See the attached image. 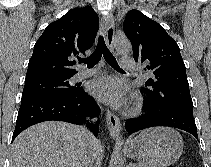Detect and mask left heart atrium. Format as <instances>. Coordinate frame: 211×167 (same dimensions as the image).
Returning a JSON list of instances; mask_svg holds the SVG:
<instances>
[{
    "instance_id": "1",
    "label": "left heart atrium",
    "mask_w": 211,
    "mask_h": 167,
    "mask_svg": "<svg viewBox=\"0 0 211 167\" xmlns=\"http://www.w3.org/2000/svg\"><path fill=\"white\" fill-rule=\"evenodd\" d=\"M89 91L94 96L114 105L126 101V90L123 84L114 78H99L89 84Z\"/></svg>"
}]
</instances>
